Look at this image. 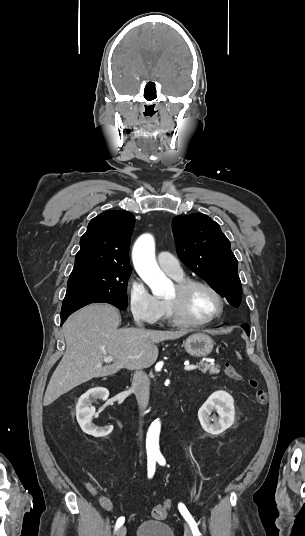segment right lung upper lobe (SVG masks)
<instances>
[{"instance_id":"obj_1","label":"right lung upper lobe","mask_w":305,"mask_h":536,"mask_svg":"<svg viewBox=\"0 0 305 536\" xmlns=\"http://www.w3.org/2000/svg\"><path fill=\"white\" fill-rule=\"evenodd\" d=\"M135 217L110 210L93 218L80 240L70 277L100 272H131L128 251Z\"/></svg>"}]
</instances>
